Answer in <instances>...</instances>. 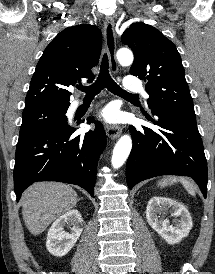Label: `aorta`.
I'll use <instances>...</instances> for the list:
<instances>
[{"label":"aorta","instance_id":"762f6f07","mask_svg":"<svg viewBox=\"0 0 215 274\" xmlns=\"http://www.w3.org/2000/svg\"><path fill=\"white\" fill-rule=\"evenodd\" d=\"M117 59L119 63L123 66L131 65L133 62V54L129 49L122 48L117 52ZM132 148V140L128 135L122 136L116 143L113 155H112V166L117 169L120 168L126 159L128 158Z\"/></svg>","mask_w":215,"mask_h":274}]
</instances>
